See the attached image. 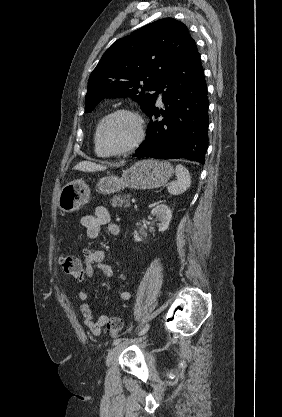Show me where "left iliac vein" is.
Segmentation results:
<instances>
[{
  "label": "left iliac vein",
  "mask_w": 282,
  "mask_h": 417,
  "mask_svg": "<svg viewBox=\"0 0 282 417\" xmlns=\"http://www.w3.org/2000/svg\"><path fill=\"white\" fill-rule=\"evenodd\" d=\"M146 335L140 338H135V339H131L130 341H123L118 343L115 347H113L106 358V365L110 366L111 364L114 363V361L118 358V356L120 355V353L129 345V344H134V343H139L140 341H142V339H145Z\"/></svg>",
  "instance_id": "4c4485c4"
}]
</instances>
